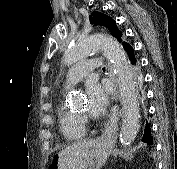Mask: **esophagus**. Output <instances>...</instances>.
Segmentation results:
<instances>
[{
	"label": "esophagus",
	"instance_id": "34e87169",
	"mask_svg": "<svg viewBox=\"0 0 177 169\" xmlns=\"http://www.w3.org/2000/svg\"><path fill=\"white\" fill-rule=\"evenodd\" d=\"M111 100H112V104H113V108H116V104H117V100H118V97H111ZM115 109L112 110L111 112V117L110 119L108 120L106 126H105V129H104V132L101 136V138H106L107 136H109L111 134V132L113 131L115 125H116V116H115Z\"/></svg>",
	"mask_w": 177,
	"mask_h": 169
}]
</instances>
